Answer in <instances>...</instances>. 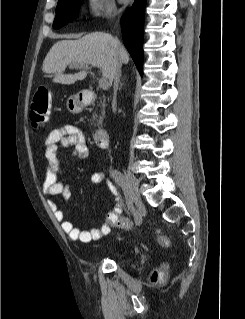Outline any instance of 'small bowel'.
Returning <instances> with one entry per match:
<instances>
[{
  "instance_id": "obj_1",
  "label": "small bowel",
  "mask_w": 245,
  "mask_h": 319,
  "mask_svg": "<svg viewBox=\"0 0 245 319\" xmlns=\"http://www.w3.org/2000/svg\"><path fill=\"white\" fill-rule=\"evenodd\" d=\"M45 146L47 167L42 184V192L46 197L60 195L65 201H68L72 196V187L61 180L62 157L59 156V150L61 148L72 147L71 155L73 157L80 160L86 159L89 155L86 137L75 126L66 124L55 128L47 135ZM104 181L105 175L103 173L96 172L89 176V182L91 184H100ZM108 185L110 187V182H108ZM48 206L52 210L55 219L60 223L62 231L73 241L89 243L94 240L102 239L111 231V226L108 223H103L98 228L82 231L75 227L71 221L65 219L64 212L59 209L55 201L50 200ZM121 212L122 203L118 201L113 212L110 214L118 215Z\"/></svg>"
}]
</instances>
